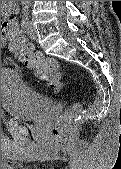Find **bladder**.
Instances as JSON below:
<instances>
[{
  "label": "bladder",
  "instance_id": "31cf9c89",
  "mask_svg": "<svg viewBox=\"0 0 121 169\" xmlns=\"http://www.w3.org/2000/svg\"><path fill=\"white\" fill-rule=\"evenodd\" d=\"M1 104L8 117L22 121L40 120L53 107L48 96L26 84L12 70L1 72Z\"/></svg>",
  "mask_w": 121,
  "mask_h": 169
}]
</instances>
